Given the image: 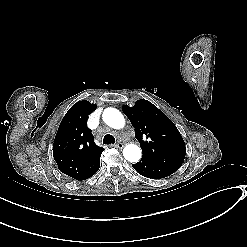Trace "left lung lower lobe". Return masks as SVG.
Returning <instances> with one entry per match:
<instances>
[{
    "instance_id": "0a47b994",
    "label": "left lung lower lobe",
    "mask_w": 247,
    "mask_h": 247,
    "mask_svg": "<svg viewBox=\"0 0 247 247\" xmlns=\"http://www.w3.org/2000/svg\"><path fill=\"white\" fill-rule=\"evenodd\" d=\"M132 166L142 176L152 179L167 177L178 170L149 158H142Z\"/></svg>"
}]
</instances>
